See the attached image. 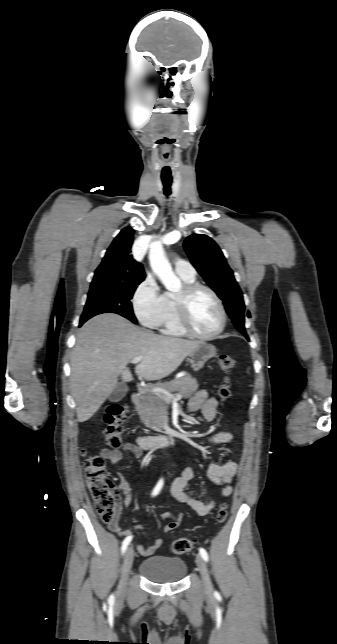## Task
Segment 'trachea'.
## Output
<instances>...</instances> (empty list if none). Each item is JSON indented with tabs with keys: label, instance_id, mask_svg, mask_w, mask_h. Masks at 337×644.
<instances>
[{
	"label": "trachea",
	"instance_id": "3493384b",
	"mask_svg": "<svg viewBox=\"0 0 337 644\" xmlns=\"http://www.w3.org/2000/svg\"><path fill=\"white\" fill-rule=\"evenodd\" d=\"M163 185H164V194L166 196H169L171 194V184L172 180L169 179H162Z\"/></svg>",
	"mask_w": 337,
	"mask_h": 644
}]
</instances>
